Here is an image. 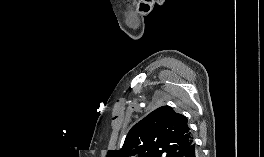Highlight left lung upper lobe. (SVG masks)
<instances>
[{"mask_svg":"<svg viewBox=\"0 0 264 157\" xmlns=\"http://www.w3.org/2000/svg\"><path fill=\"white\" fill-rule=\"evenodd\" d=\"M193 136L187 118L170 106H162L135 124L120 150L107 157H186Z\"/></svg>","mask_w":264,"mask_h":157,"instance_id":"5c2ea615","label":"left lung upper lobe"}]
</instances>
